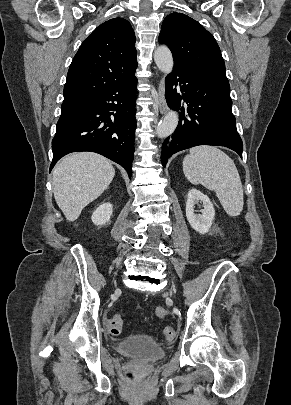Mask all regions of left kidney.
Masks as SVG:
<instances>
[{
  "instance_id": "left-kidney-1",
  "label": "left kidney",
  "mask_w": 291,
  "mask_h": 405,
  "mask_svg": "<svg viewBox=\"0 0 291 405\" xmlns=\"http://www.w3.org/2000/svg\"><path fill=\"white\" fill-rule=\"evenodd\" d=\"M203 204L201 214L194 213V206L198 203ZM215 216V210L210 199L197 189H191L188 192L186 202V217L191 227L200 234L208 233Z\"/></svg>"
}]
</instances>
